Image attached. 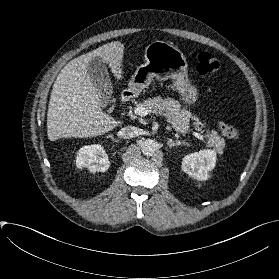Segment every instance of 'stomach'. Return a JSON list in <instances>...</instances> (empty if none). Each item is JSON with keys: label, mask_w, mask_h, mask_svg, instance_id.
Wrapping results in <instances>:
<instances>
[{"label": "stomach", "mask_w": 279, "mask_h": 279, "mask_svg": "<svg viewBox=\"0 0 279 279\" xmlns=\"http://www.w3.org/2000/svg\"><path fill=\"white\" fill-rule=\"evenodd\" d=\"M144 57L145 63L136 69L131 78L133 89L146 88L154 77L158 80L171 79L183 103L195 104L198 91L188 77L187 59L177 47L157 40L146 47Z\"/></svg>", "instance_id": "obj_1"}]
</instances>
